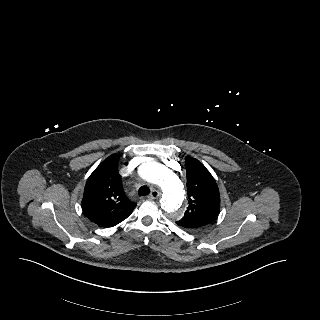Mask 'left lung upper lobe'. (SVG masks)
Here are the masks:
<instances>
[{
    "label": "left lung upper lobe",
    "instance_id": "left-lung-upper-lobe-1",
    "mask_svg": "<svg viewBox=\"0 0 320 320\" xmlns=\"http://www.w3.org/2000/svg\"><path fill=\"white\" fill-rule=\"evenodd\" d=\"M188 207L176 221L183 229L197 230L212 223L220 209V194L216 181L195 158H186Z\"/></svg>",
    "mask_w": 320,
    "mask_h": 320
}]
</instances>
